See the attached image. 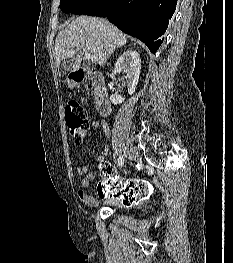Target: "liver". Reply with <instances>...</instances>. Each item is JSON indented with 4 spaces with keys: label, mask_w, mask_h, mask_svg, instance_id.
<instances>
[{
    "label": "liver",
    "mask_w": 233,
    "mask_h": 263,
    "mask_svg": "<svg viewBox=\"0 0 233 263\" xmlns=\"http://www.w3.org/2000/svg\"><path fill=\"white\" fill-rule=\"evenodd\" d=\"M127 42L126 35L105 19L81 16L74 19L60 31L55 40V63L59 66L65 59L73 58L71 69L81 67L82 51H87L97 58L103 66L109 56ZM74 50V53H71Z\"/></svg>",
    "instance_id": "obj_1"
}]
</instances>
